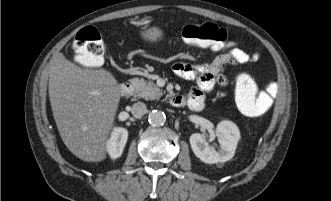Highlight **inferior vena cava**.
Listing matches in <instances>:
<instances>
[{"label": "inferior vena cava", "mask_w": 331, "mask_h": 201, "mask_svg": "<svg viewBox=\"0 0 331 201\" xmlns=\"http://www.w3.org/2000/svg\"><path fill=\"white\" fill-rule=\"evenodd\" d=\"M131 112L134 117L141 118L147 112L146 104L143 102L133 104Z\"/></svg>", "instance_id": "inferior-vena-cava-1"}]
</instances>
